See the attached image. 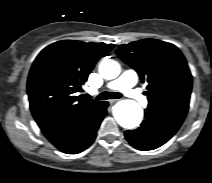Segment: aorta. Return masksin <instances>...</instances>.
I'll return each mask as SVG.
<instances>
[{"label":"aorta","mask_w":212,"mask_h":183,"mask_svg":"<svg viewBox=\"0 0 212 183\" xmlns=\"http://www.w3.org/2000/svg\"><path fill=\"white\" fill-rule=\"evenodd\" d=\"M99 73L104 79H114L120 73V65L114 60H103L99 65ZM113 115L120 126L133 129L141 123L143 111L137 102L122 100L115 105Z\"/></svg>","instance_id":"aorta-1"}]
</instances>
